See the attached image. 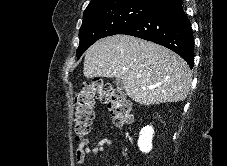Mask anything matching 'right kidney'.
Instances as JSON below:
<instances>
[{
	"instance_id": "right-kidney-1",
	"label": "right kidney",
	"mask_w": 227,
	"mask_h": 166,
	"mask_svg": "<svg viewBox=\"0 0 227 166\" xmlns=\"http://www.w3.org/2000/svg\"><path fill=\"white\" fill-rule=\"evenodd\" d=\"M153 135L154 129L152 126L148 125L141 129L138 139V147L142 152L148 153L151 151Z\"/></svg>"
}]
</instances>
